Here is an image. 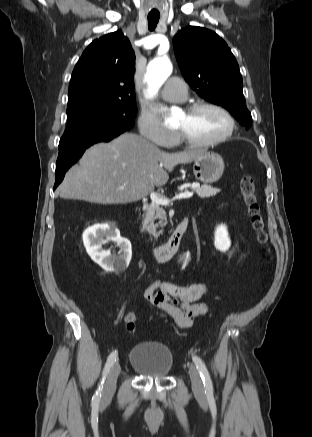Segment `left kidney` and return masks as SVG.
I'll use <instances>...</instances> for the list:
<instances>
[{"label":"left kidney","mask_w":312,"mask_h":437,"mask_svg":"<svg viewBox=\"0 0 312 437\" xmlns=\"http://www.w3.org/2000/svg\"><path fill=\"white\" fill-rule=\"evenodd\" d=\"M214 246L221 252L227 251L231 246V241L225 225L217 226L214 233Z\"/></svg>","instance_id":"5707ae66"}]
</instances>
